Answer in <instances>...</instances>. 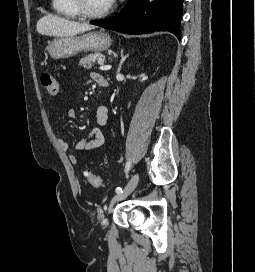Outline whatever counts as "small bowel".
Returning <instances> with one entry per match:
<instances>
[{
	"instance_id": "1",
	"label": "small bowel",
	"mask_w": 255,
	"mask_h": 272,
	"mask_svg": "<svg viewBox=\"0 0 255 272\" xmlns=\"http://www.w3.org/2000/svg\"><path fill=\"white\" fill-rule=\"evenodd\" d=\"M91 78L94 82L98 83L101 79H105L99 73H92ZM96 122L100 127L105 126L109 121V110L106 106H99L96 109ZM76 117V113L73 109L68 110L67 119L72 120ZM105 142V137L102 130L98 128H94L80 139L74 146L75 153L69 155V160L72 164H77L80 160V157L83 156L87 151L93 150L101 147ZM58 144L63 151H68L69 145L64 139H59Z\"/></svg>"
}]
</instances>
